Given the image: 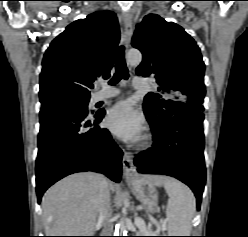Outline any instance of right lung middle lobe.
Segmentation results:
<instances>
[{"instance_id":"obj_1","label":"right lung middle lobe","mask_w":248,"mask_h":237,"mask_svg":"<svg viewBox=\"0 0 248 237\" xmlns=\"http://www.w3.org/2000/svg\"><path fill=\"white\" fill-rule=\"evenodd\" d=\"M88 100L59 99L42 105L41 109L69 108L81 112H88Z\"/></svg>"}]
</instances>
